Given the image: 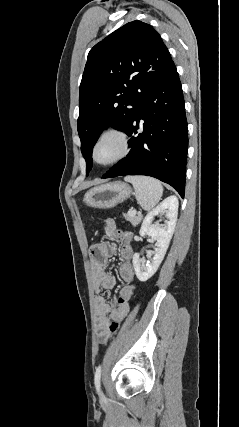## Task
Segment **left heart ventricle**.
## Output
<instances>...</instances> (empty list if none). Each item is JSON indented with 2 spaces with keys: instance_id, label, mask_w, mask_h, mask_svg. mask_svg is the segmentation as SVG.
Masks as SVG:
<instances>
[{
  "instance_id": "b2bd125f",
  "label": "left heart ventricle",
  "mask_w": 239,
  "mask_h": 427,
  "mask_svg": "<svg viewBox=\"0 0 239 427\" xmlns=\"http://www.w3.org/2000/svg\"><path fill=\"white\" fill-rule=\"evenodd\" d=\"M121 149L122 145L117 137H106L99 143L96 149V158L100 162L111 161L120 154Z\"/></svg>"
}]
</instances>
